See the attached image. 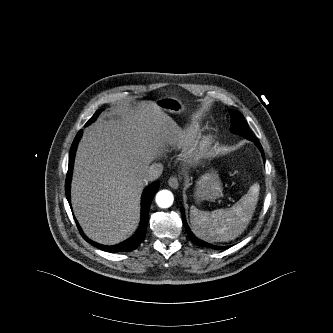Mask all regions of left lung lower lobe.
I'll use <instances>...</instances> for the list:
<instances>
[{
  "label": "left lung lower lobe",
  "instance_id": "0a47b994",
  "mask_svg": "<svg viewBox=\"0 0 333 333\" xmlns=\"http://www.w3.org/2000/svg\"><path fill=\"white\" fill-rule=\"evenodd\" d=\"M250 140H253V138L250 139ZM256 144L258 145V147L260 148V150L262 151V154H263V149H262L261 145L258 144L257 142H256ZM263 157H264V154H263ZM182 218H183V223H184V226H185L186 231H187V233H188V236L190 237V239H191L195 244H197V245H199V246H202V247L213 248V249H216V250H220V249H225V248H227V247H222V246H215V245L209 244V243H207V242H204V241H202V240L196 238V237L193 235V233L191 232V230H190V228L188 227V225H187V222H186V220H185V216H184V211H183V209H182Z\"/></svg>",
  "mask_w": 333,
  "mask_h": 333
}]
</instances>
